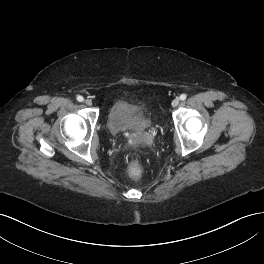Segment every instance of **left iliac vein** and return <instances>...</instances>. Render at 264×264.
Masks as SVG:
<instances>
[{"instance_id": "obj_1", "label": "left iliac vein", "mask_w": 264, "mask_h": 264, "mask_svg": "<svg viewBox=\"0 0 264 264\" xmlns=\"http://www.w3.org/2000/svg\"><path fill=\"white\" fill-rule=\"evenodd\" d=\"M180 100L178 98H175L173 101H172V106L173 107H176L178 104H179Z\"/></svg>"}]
</instances>
